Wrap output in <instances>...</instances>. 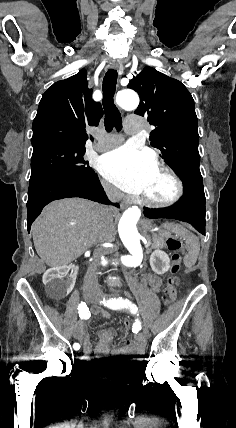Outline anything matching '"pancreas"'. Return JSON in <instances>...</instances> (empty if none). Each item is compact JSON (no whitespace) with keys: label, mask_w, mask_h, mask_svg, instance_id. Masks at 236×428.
I'll return each instance as SVG.
<instances>
[{"label":"pancreas","mask_w":236,"mask_h":428,"mask_svg":"<svg viewBox=\"0 0 236 428\" xmlns=\"http://www.w3.org/2000/svg\"><path fill=\"white\" fill-rule=\"evenodd\" d=\"M152 238H153L154 242H157V240H159V242H161L162 246H165L164 238H159V236H155V234H153ZM153 248H157V246H153Z\"/></svg>","instance_id":"1"}]
</instances>
